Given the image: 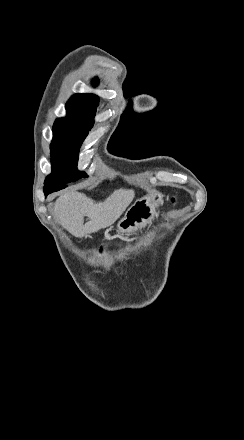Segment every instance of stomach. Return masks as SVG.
<instances>
[{
    "label": "stomach",
    "instance_id": "0dacf381",
    "mask_svg": "<svg viewBox=\"0 0 244 440\" xmlns=\"http://www.w3.org/2000/svg\"><path fill=\"white\" fill-rule=\"evenodd\" d=\"M163 204V194L152 190L144 198L136 200L135 204L127 210L124 218L117 224L118 234L132 236L147 224H151L157 216L159 206Z\"/></svg>",
    "mask_w": 244,
    "mask_h": 440
}]
</instances>
